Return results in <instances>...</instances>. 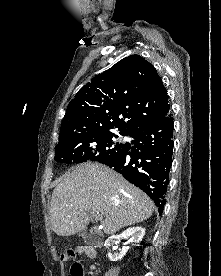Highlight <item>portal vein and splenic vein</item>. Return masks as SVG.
<instances>
[{
    "mask_svg": "<svg viewBox=\"0 0 221 276\" xmlns=\"http://www.w3.org/2000/svg\"><path fill=\"white\" fill-rule=\"evenodd\" d=\"M93 217L98 221V220H102L103 219V216L98 214V215H93Z\"/></svg>",
    "mask_w": 221,
    "mask_h": 276,
    "instance_id": "portal-vein-and-splenic-vein-1",
    "label": "portal vein and splenic vein"
}]
</instances>
